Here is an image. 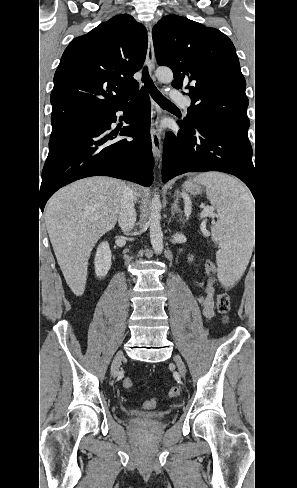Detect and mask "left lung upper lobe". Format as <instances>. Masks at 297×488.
<instances>
[{
	"mask_svg": "<svg viewBox=\"0 0 297 488\" xmlns=\"http://www.w3.org/2000/svg\"><path fill=\"white\" fill-rule=\"evenodd\" d=\"M159 65L172 69V86L189 89L184 123L248 140L246 82L232 41L221 31L177 15L152 30Z\"/></svg>",
	"mask_w": 297,
	"mask_h": 488,
	"instance_id": "1",
	"label": "left lung upper lobe"
}]
</instances>
